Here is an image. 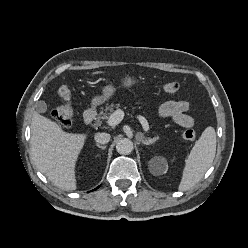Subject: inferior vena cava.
<instances>
[{
    "label": "inferior vena cava",
    "mask_w": 248,
    "mask_h": 248,
    "mask_svg": "<svg viewBox=\"0 0 248 248\" xmlns=\"http://www.w3.org/2000/svg\"><path fill=\"white\" fill-rule=\"evenodd\" d=\"M110 134L108 133H96L95 136H94V139L97 143H100V144H106L110 141Z\"/></svg>",
    "instance_id": "1"
}]
</instances>
